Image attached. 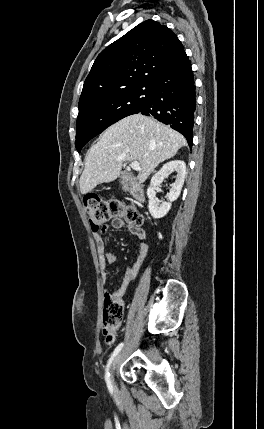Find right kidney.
I'll list each match as a JSON object with an SVG mask.
<instances>
[{"label":"right kidney","instance_id":"ca27d5eb","mask_svg":"<svg viewBox=\"0 0 264 429\" xmlns=\"http://www.w3.org/2000/svg\"><path fill=\"white\" fill-rule=\"evenodd\" d=\"M175 171L177 173L175 182L171 185L168 193L169 202L159 201L155 198V189L160 185L169 173ZM186 165L182 160H173L163 165V167L152 177L150 186L147 189L149 199V212L155 219L164 217L171 209V203L179 197L185 180Z\"/></svg>","mask_w":264,"mask_h":429}]
</instances>
